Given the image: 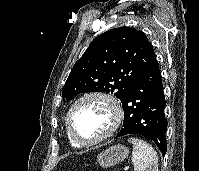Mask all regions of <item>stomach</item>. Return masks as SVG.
Wrapping results in <instances>:
<instances>
[{
    "mask_svg": "<svg viewBox=\"0 0 199 171\" xmlns=\"http://www.w3.org/2000/svg\"><path fill=\"white\" fill-rule=\"evenodd\" d=\"M129 150L124 145H114L97 156V162L102 167L114 166L128 157Z\"/></svg>",
    "mask_w": 199,
    "mask_h": 171,
    "instance_id": "stomach-1",
    "label": "stomach"
}]
</instances>
